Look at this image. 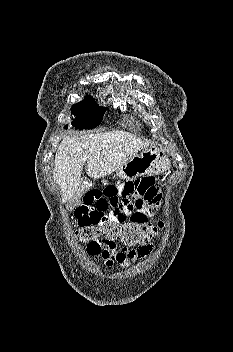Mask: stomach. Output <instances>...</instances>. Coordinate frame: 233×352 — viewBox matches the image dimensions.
I'll list each match as a JSON object with an SVG mask.
<instances>
[{
	"label": "stomach",
	"mask_w": 233,
	"mask_h": 352,
	"mask_svg": "<svg viewBox=\"0 0 233 352\" xmlns=\"http://www.w3.org/2000/svg\"><path fill=\"white\" fill-rule=\"evenodd\" d=\"M169 165L170 161L164 152L156 147H147L119 167L116 175L124 180H133L144 175L162 173Z\"/></svg>",
	"instance_id": "0dacf381"
}]
</instances>
